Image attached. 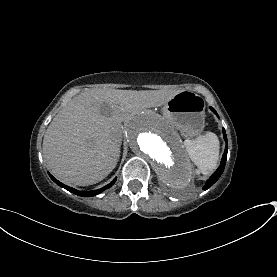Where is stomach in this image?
Here are the masks:
<instances>
[{
  "label": "stomach",
  "instance_id": "stomach-1",
  "mask_svg": "<svg viewBox=\"0 0 277 277\" xmlns=\"http://www.w3.org/2000/svg\"><path fill=\"white\" fill-rule=\"evenodd\" d=\"M162 113L186 138L198 136L204 128V102L193 92L183 90L177 93L164 104Z\"/></svg>",
  "mask_w": 277,
  "mask_h": 277
}]
</instances>
